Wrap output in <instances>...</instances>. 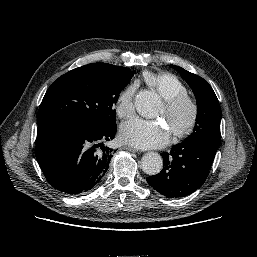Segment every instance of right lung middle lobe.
I'll list each match as a JSON object with an SVG mask.
<instances>
[{
  "label": "right lung middle lobe",
  "instance_id": "1",
  "mask_svg": "<svg viewBox=\"0 0 257 257\" xmlns=\"http://www.w3.org/2000/svg\"><path fill=\"white\" fill-rule=\"evenodd\" d=\"M135 71L107 63L73 69L55 80L40 105L38 124L54 118H76L95 126L116 124V104L121 90Z\"/></svg>",
  "mask_w": 257,
  "mask_h": 257
}]
</instances>
